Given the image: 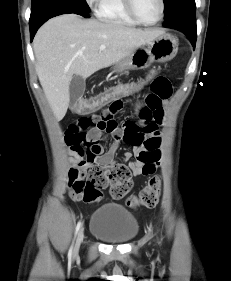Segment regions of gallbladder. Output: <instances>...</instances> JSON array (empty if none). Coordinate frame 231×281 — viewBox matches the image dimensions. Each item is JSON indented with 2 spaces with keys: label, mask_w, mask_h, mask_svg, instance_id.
I'll return each instance as SVG.
<instances>
[{
  "label": "gallbladder",
  "mask_w": 231,
  "mask_h": 281,
  "mask_svg": "<svg viewBox=\"0 0 231 281\" xmlns=\"http://www.w3.org/2000/svg\"><path fill=\"white\" fill-rule=\"evenodd\" d=\"M85 80L79 75H74L69 85L70 103L72 106L83 96Z\"/></svg>",
  "instance_id": "obj_1"
}]
</instances>
